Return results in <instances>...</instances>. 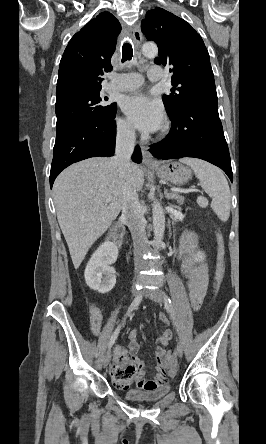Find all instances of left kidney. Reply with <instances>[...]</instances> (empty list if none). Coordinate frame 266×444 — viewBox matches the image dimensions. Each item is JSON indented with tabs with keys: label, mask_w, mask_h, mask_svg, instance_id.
<instances>
[{
	"label": "left kidney",
	"mask_w": 266,
	"mask_h": 444,
	"mask_svg": "<svg viewBox=\"0 0 266 444\" xmlns=\"http://www.w3.org/2000/svg\"><path fill=\"white\" fill-rule=\"evenodd\" d=\"M204 257H205L204 253L199 251L195 256V261H201L204 259Z\"/></svg>",
	"instance_id": "left-kidney-1"
}]
</instances>
